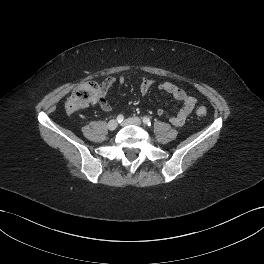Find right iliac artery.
Listing matches in <instances>:
<instances>
[{
    "mask_svg": "<svg viewBox=\"0 0 264 264\" xmlns=\"http://www.w3.org/2000/svg\"><path fill=\"white\" fill-rule=\"evenodd\" d=\"M123 120H124V116L123 115L120 114V115L117 116V121L119 123H121Z\"/></svg>",
    "mask_w": 264,
    "mask_h": 264,
    "instance_id": "82829eb1",
    "label": "right iliac artery"
}]
</instances>
